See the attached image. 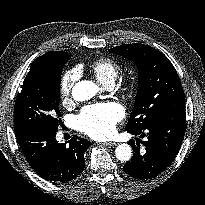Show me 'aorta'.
<instances>
[{"mask_svg": "<svg viewBox=\"0 0 205 205\" xmlns=\"http://www.w3.org/2000/svg\"><path fill=\"white\" fill-rule=\"evenodd\" d=\"M98 89V86L92 81H79L72 88V97L78 102L87 101L97 94ZM115 156L121 162L129 161L132 156V149L128 144H120L115 150Z\"/></svg>", "mask_w": 205, "mask_h": 205, "instance_id": "1", "label": "aorta"}]
</instances>
